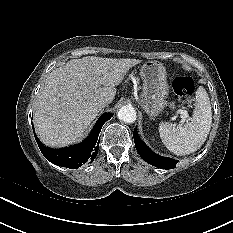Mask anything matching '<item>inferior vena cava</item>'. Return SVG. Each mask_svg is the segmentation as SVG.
I'll use <instances>...</instances> for the list:
<instances>
[{
  "label": "inferior vena cava",
  "instance_id": "obj_1",
  "mask_svg": "<svg viewBox=\"0 0 233 233\" xmlns=\"http://www.w3.org/2000/svg\"><path fill=\"white\" fill-rule=\"evenodd\" d=\"M109 103H110V101H109L108 98H102L98 102L99 106L102 107V108L108 106Z\"/></svg>",
  "mask_w": 233,
  "mask_h": 233
}]
</instances>
